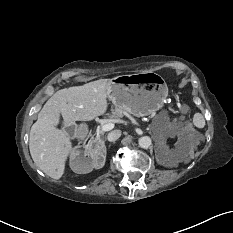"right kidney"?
Listing matches in <instances>:
<instances>
[{
  "instance_id": "obj_1",
  "label": "right kidney",
  "mask_w": 233,
  "mask_h": 233,
  "mask_svg": "<svg viewBox=\"0 0 233 233\" xmlns=\"http://www.w3.org/2000/svg\"><path fill=\"white\" fill-rule=\"evenodd\" d=\"M87 156V157H86ZM106 150L103 148L89 147L83 157L79 153L70 156V167L77 174H86L93 169H100L105 165Z\"/></svg>"
}]
</instances>
